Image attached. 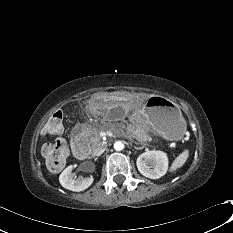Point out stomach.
I'll return each instance as SVG.
<instances>
[{
	"label": "stomach",
	"instance_id": "stomach-1",
	"mask_svg": "<svg viewBox=\"0 0 233 233\" xmlns=\"http://www.w3.org/2000/svg\"><path fill=\"white\" fill-rule=\"evenodd\" d=\"M93 115L111 118H128L140 112L142 124L166 140L177 141L185 132L180 109L176 103L163 96H152L147 102L142 97L119 98L117 96L94 97L89 103Z\"/></svg>",
	"mask_w": 233,
	"mask_h": 233
}]
</instances>
